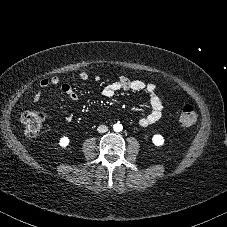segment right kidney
I'll use <instances>...</instances> for the list:
<instances>
[{
	"label": "right kidney",
	"mask_w": 227,
	"mask_h": 227,
	"mask_svg": "<svg viewBox=\"0 0 227 227\" xmlns=\"http://www.w3.org/2000/svg\"><path fill=\"white\" fill-rule=\"evenodd\" d=\"M69 138L67 136H63L59 140V146L62 148H66L69 145Z\"/></svg>",
	"instance_id": "right-kidney-1"
}]
</instances>
